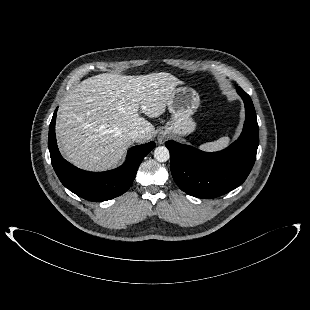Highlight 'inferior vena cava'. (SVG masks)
I'll return each instance as SVG.
<instances>
[{"label": "inferior vena cava", "instance_id": "1", "mask_svg": "<svg viewBox=\"0 0 310 310\" xmlns=\"http://www.w3.org/2000/svg\"><path fill=\"white\" fill-rule=\"evenodd\" d=\"M130 139L134 142L142 137V132L138 130H132L129 132Z\"/></svg>", "mask_w": 310, "mask_h": 310}]
</instances>
